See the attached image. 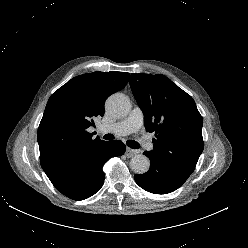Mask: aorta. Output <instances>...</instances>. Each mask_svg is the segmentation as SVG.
Instances as JSON below:
<instances>
[{
	"label": "aorta",
	"instance_id": "aorta-1",
	"mask_svg": "<svg viewBox=\"0 0 248 248\" xmlns=\"http://www.w3.org/2000/svg\"><path fill=\"white\" fill-rule=\"evenodd\" d=\"M106 108L110 115L123 118L130 112V101L123 94H114L107 99ZM130 167L136 174H144L150 168V160L143 154H136L130 160Z\"/></svg>",
	"mask_w": 248,
	"mask_h": 248
}]
</instances>
